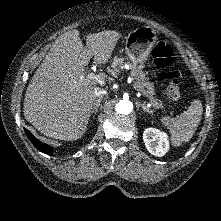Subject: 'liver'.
I'll list each match as a JSON object with an SVG mask.
<instances>
[{
    "label": "liver",
    "mask_w": 221,
    "mask_h": 221,
    "mask_svg": "<svg viewBox=\"0 0 221 221\" xmlns=\"http://www.w3.org/2000/svg\"><path fill=\"white\" fill-rule=\"evenodd\" d=\"M121 37L112 30L89 34L85 48L78 30L59 36L28 85L25 119L47 137L79 139L96 103L97 87L84 77V67L91 57L106 64Z\"/></svg>",
    "instance_id": "1"
}]
</instances>
